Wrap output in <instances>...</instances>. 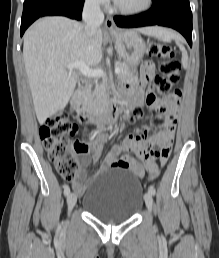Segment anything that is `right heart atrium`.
Wrapping results in <instances>:
<instances>
[{"instance_id":"right-heart-atrium-1","label":"right heart atrium","mask_w":219,"mask_h":258,"mask_svg":"<svg viewBox=\"0 0 219 258\" xmlns=\"http://www.w3.org/2000/svg\"><path fill=\"white\" fill-rule=\"evenodd\" d=\"M90 5L95 7H101L108 3V0H86Z\"/></svg>"}]
</instances>
